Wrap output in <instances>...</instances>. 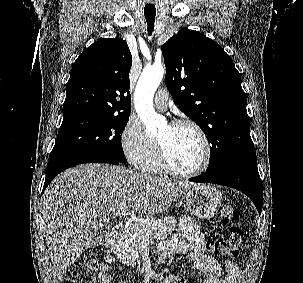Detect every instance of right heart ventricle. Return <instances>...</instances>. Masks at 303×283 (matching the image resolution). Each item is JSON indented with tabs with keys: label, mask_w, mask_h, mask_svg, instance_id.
<instances>
[{
	"label": "right heart ventricle",
	"mask_w": 303,
	"mask_h": 283,
	"mask_svg": "<svg viewBox=\"0 0 303 283\" xmlns=\"http://www.w3.org/2000/svg\"><path fill=\"white\" fill-rule=\"evenodd\" d=\"M141 168L148 173H157L161 170L156 150L151 154L148 160L141 165Z\"/></svg>",
	"instance_id": "obj_1"
}]
</instances>
